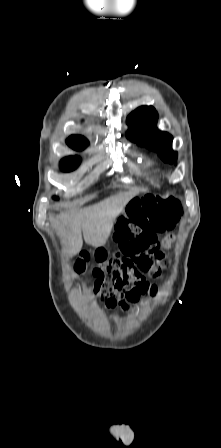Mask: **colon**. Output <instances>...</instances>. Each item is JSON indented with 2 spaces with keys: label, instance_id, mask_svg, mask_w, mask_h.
<instances>
[{
  "label": "colon",
  "instance_id": "obj_1",
  "mask_svg": "<svg viewBox=\"0 0 221 448\" xmlns=\"http://www.w3.org/2000/svg\"><path fill=\"white\" fill-rule=\"evenodd\" d=\"M129 215L120 217L116 226V240L127 251L125 257L109 254L103 249L94 253V286L98 290H120L130 301H138L150 287L144 273L161 277L169 262L159 248L157 233L172 229L182 215V205L174 197L146 195L129 207ZM146 215V219L141 216ZM91 255L78 256L74 269L86 268Z\"/></svg>",
  "mask_w": 221,
  "mask_h": 448
}]
</instances>
